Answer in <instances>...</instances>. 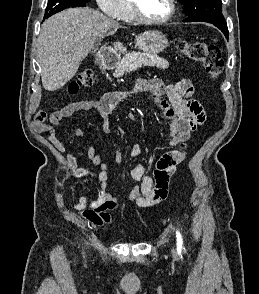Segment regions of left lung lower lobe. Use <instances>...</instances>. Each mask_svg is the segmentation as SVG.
<instances>
[{"label": "left lung lower lobe", "instance_id": "1", "mask_svg": "<svg viewBox=\"0 0 259 294\" xmlns=\"http://www.w3.org/2000/svg\"><path fill=\"white\" fill-rule=\"evenodd\" d=\"M184 21L189 22L187 20H184ZM192 22H199V21H192ZM200 22H205V21H200ZM208 23H211L214 26L218 27L228 39L229 32H228V27L226 22H208Z\"/></svg>", "mask_w": 259, "mask_h": 294}]
</instances>
